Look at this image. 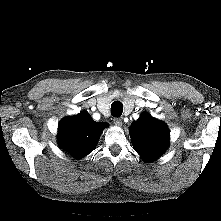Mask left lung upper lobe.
I'll return each instance as SVG.
<instances>
[{"mask_svg":"<svg viewBox=\"0 0 221 221\" xmlns=\"http://www.w3.org/2000/svg\"><path fill=\"white\" fill-rule=\"evenodd\" d=\"M169 134L165 123L147 113H143L130 128L134 149L148 162L157 159L167 149Z\"/></svg>","mask_w":221,"mask_h":221,"instance_id":"1","label":"left lung upper lobe"}]
</instances>
